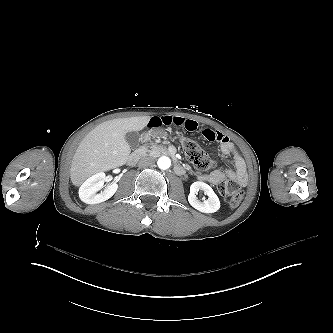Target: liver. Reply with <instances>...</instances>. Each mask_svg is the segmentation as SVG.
<instances>
[{
  "label": "liver",
  "mask_w": 333,
  "mask_h": 333,
  "mask_svg": "<svg viewBox=\"0 0 333 333\" xmlns=\"http://www.w3.org/2000/svg\"><path fill=\"white\" fill-rule=\"evenodd\" d=\"M150 116L118 118L93 128L78 145L70 167V179L80 187L92 175L125 165L131 153L126 134L142 131Z\"/></svg>",
  "instance_id": "1"
}]
</instances>
